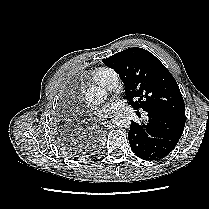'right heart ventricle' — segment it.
<instances>
[{"mask_svg": "<svg viewBox=\"0 0 209 209\" xmlns=\"http://www.w3.org/2000/svg\"><path fill=\"white\" fill-rule=\"evenodd\" d=\"M107 68H99L98 70H96V72L94 73V78L96 79L97 77H100L103 75V73L105 71H107Z\"/></svg>", "mask_w": 209, "mask_h": 209, "instance_id": "1", "label": "right heart ventricle"}]
</instances>
